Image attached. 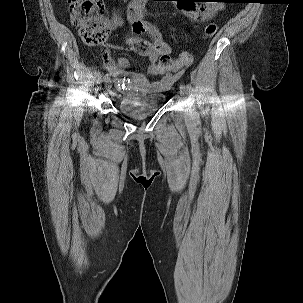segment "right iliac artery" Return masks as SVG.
Instances as JSON below:
<instances>
[{"label":"right iliac artery","instance_id":"right-iliac-artery-1","mask_svg":"<svg viewBox=\"0 0 303 303\" xmlns=\"http://www.w3.org/2000/svg\"><path fill=\"white\" fill-rule=\"evenodd\" d=\"M109 74L108 73H106L105 75H104V77H103V81L105 82V81H107L108 79H109Z\"/></svg>","mask_w":303,"mask_h":303}]
</instances>
